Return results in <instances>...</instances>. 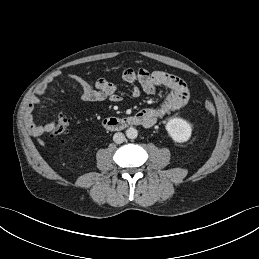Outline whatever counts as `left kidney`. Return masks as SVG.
<instances>
[{
    "instance_id": "left-kidney-1",
    "label": "left kidney",
    "mask_w": 259,
    "mask_h": 259,
    "mask_svg": "<svg viewBox=\"0 0 259 259\" xmlns=\"http://www.w3.org/2000/svg\"><path fill=\"white\" fill-rule=\"evenodd\" d=\"M168 134L176 143L187 142L192 134V125L184 119L173 118L165 126Z\"/></svg>"
}]
</instances>
